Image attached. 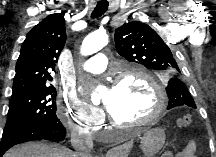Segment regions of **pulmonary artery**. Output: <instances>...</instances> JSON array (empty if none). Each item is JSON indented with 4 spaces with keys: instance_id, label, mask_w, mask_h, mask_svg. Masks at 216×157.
Masks as SVG:
<instances>
[{
    "instance_id": "obj_1",
    "label": "pulmonary artery",
    "mask_w": 216,
    "mask_h": 157,
    "mask_svg": "<svg viewBox=\"0 0 216 157\" xmlns=\"http://www.w3.org/2000/svg\"><path fill=\"white\" fill-rule=\"evenodd\" d=\"M108 58L103 53H98L85 60L81 64V69L89 73H101L107 67Z\"/></svg>"
}]
</instances>
